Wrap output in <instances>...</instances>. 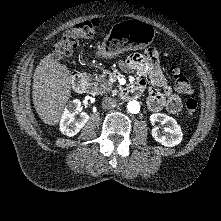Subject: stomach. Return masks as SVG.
Listing matches in <instances>:
<instances>
[{
  "label": "stomach",
  "mask_w": 221,
  "mask_h": 221,
  "mask_svg": "<svg viewBox=\"0 0 221 221\" xmlns=\"http://www.w3.org/2000/svg\"><path fill=\"white\" fill-rule=\"evenodd\" d=\"M155 37V31L150 24L133 19H124L111 29L96 56L102 59H110L121 53L137 51L151 45Z\"/></svg>",
  "instance_id": "0dacf381"
}]
</instances>
